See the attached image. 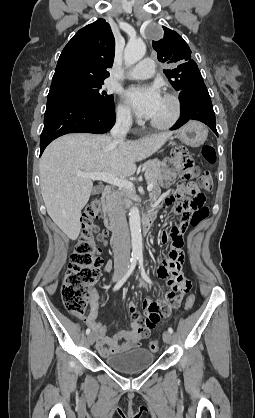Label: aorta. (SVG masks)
<instances>
[{
    "instance_id": "1",
    "label": "aorta",
    "mask_w": 255,
    "mask_h": 418,
    "mask_svg": "<svg viewBox=\"0 0 255 418\" xmlns=\"http://www.w3.org/2000/svg\"><path fill=\"white\" fill-rule=\"evenodd\" d=\"M146 53V45L141 41H130L124 50V61L130 67L143 58ZM129 225L131 232L132 254L142 255V234L140 213L137 207L131 208L129 212Z\"/></svg>"
}]
</instances>
